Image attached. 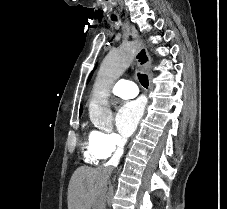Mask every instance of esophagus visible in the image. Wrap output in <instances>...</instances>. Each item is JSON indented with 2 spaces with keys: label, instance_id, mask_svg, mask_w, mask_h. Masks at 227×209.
<instances>
[{
  "label": "esophagus",
  "instance_id": "1",
  "mask_svg": "<svg viewBox=\"0 0 227 209\" xmlns=\"http://www.w3.org/2000/svg\"><path fill=\"white\" fill-rule=\"evenodd\" d=\"M131 35L133 39L139 40L140 36L138 32L135 30L134 27L131 28ZM135 59L138 62L139 66L142 68V70L147 73L149 76L150 80V89L153 88L151 84L152 80V73H151V64H152V59L150 55L148 54V51L145 47L141 46L137 52L135 53Z\"/></svg>",
  "mask_w": 227,
  "mask_h": 209
}]
</instances>
